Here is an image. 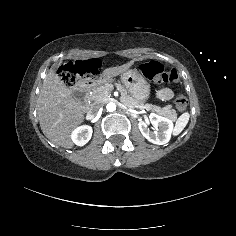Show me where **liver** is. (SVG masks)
I'll list each match as a JSON object with an SVG mask.
<instances>
[{"label": "liver", "mask_w": 236, "mask_h": 236, "mask_svg": "<svg viewBox=\"0 0 236 236\" xmlns=\"http://www.w3.org/2000/svg\"><path fill=\"white\" fill-rule=\"evenodd\" d=\"M142 59L136 58L121 65L105 68L101 77H117ZM37 115L42 132L49 140L66 149L75 146L72 134L84 123L85 112L82 102L73 98L71 90L56 74L53 66L43 80L39 92Z\"/></svg>", "instance_id": "liver-1"}]
</instances>
